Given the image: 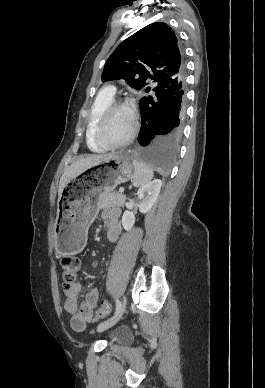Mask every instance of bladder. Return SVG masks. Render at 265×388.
<instances>
[{
	"label": "bladder",
	"mask_w": 265,
	"mask_h": 388,
	"mask_svg": "<svg viewBox=\"0 0 265 388\" xmlns=\"http://www.w3.org/2000/svg\"><path fill=\"white\" fill-rule=\"evenodd\" d=\"M118 336H119V334H110V335L108 336V339H110V340H115Z\"/></svg>",
	"instance_id": "1"
}]
</instances>
